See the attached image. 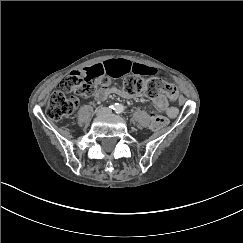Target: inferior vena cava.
Listing matches in <instances>:
<instances>
[{
	"label": "inferior vena cava",
	"instance_id": "inferior-vena-cava-1",
	"mask_svg": "<svg viewBox=\"0 0 243 243\" xmlns=\"http://www.w3.org/2000/svg\"><path fill=\"white\" fill-rule=\"evenodd\" d=\"M105 110H106V111H109V110H110V107H109V106H106V107H105ZM99 112H100V113H103V112H104V109H103V108H100V109H99Z\"/></svg>",
	"mask_w": 243,
	"mask_h": 243
}]
</instances>
